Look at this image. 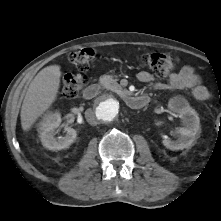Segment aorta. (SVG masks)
<instances>
[{"label":"aorta","instance_id":"762f6f07","mask_svg":"<svg viewBox=\"0 0 221 221\" xmlns=\"http://www.w3.org/2000/svg\"><path fill=\"white\" fill-rule=\"evenodd\" d=\"M122 103L111 95L100 98L95 106L97 119L102 123H111L121 114Z\"/></svg>","mask_w":221,"mask_h":221}]
</instances>
